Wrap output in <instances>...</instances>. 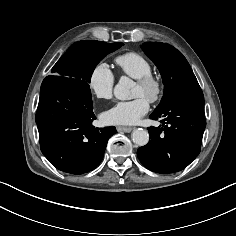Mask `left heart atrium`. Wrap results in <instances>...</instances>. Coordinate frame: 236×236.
<instances>
[{"label":"left heart atrium","mask_w":236,"mask_h":236,"mask_svg":"<svg viewBox=\"0 0 236 236\" xmlns=\"http://www.w3.org/2000/svg\"><path fill=\"white\" fill-rule=\"evenodd\" d=\"M149 111V101L138 96L130 101H120L104 112L103 119L112 125L136 124Z\"/></svg>","instance_id":"left-heart-atrium-1"}]
</instances>
